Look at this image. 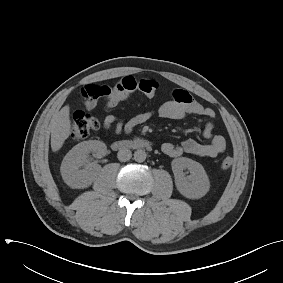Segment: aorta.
I'll return each instance as SVG.
<instances>
[{
	"label": "aorta",
	"instance_id": "obj_1",
	"mask_svg": "<svg viewBox=\"0 0 283 283\" xmlns=\"http://www.w3.org/2000/svg\"><path fill=\"white\" fill-rule=\"evenodd\" d=\"M146 152L144 150L138 149L134 152V160L136 162H144L146 160Z\"/></svg>",
	"mask_w": 283,
	"mask_h": 283
}]
</instances>
